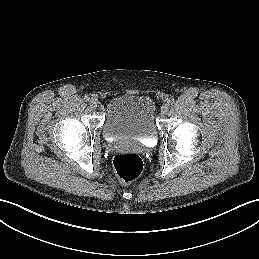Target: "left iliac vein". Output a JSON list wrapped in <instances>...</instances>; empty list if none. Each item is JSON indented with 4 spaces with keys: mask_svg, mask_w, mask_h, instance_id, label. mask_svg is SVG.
Segmentation results:
<instances>
[{
    "mask_svg": "<svg viewBox=\"0 0 259 259\" xmlns=\"http://www.w3.org/2000/svg\"><path fill=\"white\" fill-rule=\"evenodd\" d=\"M168 111V105L167 104H163L161 107V113L162 114H166Z\"/></svg>",
    "mask_w": 259,
    "mask_h": 259,
    "instance_id": "obj_1",
    "label": "left iliac vein"
}]
</instances>
